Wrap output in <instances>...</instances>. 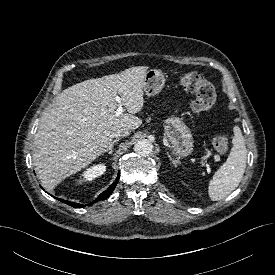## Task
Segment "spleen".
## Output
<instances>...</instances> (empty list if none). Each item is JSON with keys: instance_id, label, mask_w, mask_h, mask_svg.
Here are the masks:
<instances>
[{"instance_id": "spleen-1", "label": "spleen", "mask_w": 275, "mask_h": 275, "mask_svg": "<svg viewBox=\"0 0 275 275\" xmlns=\"http://www.w3.org/2000/svg\"><path fill=\"white\" fill-rule=\"evenodd\" d=\"M233 147L226 162L216 171L209 182L208 194L212 201L226 198L235 190L245 172L247 149L244 137L238 126L234 127Z\"/></svg>"}]
</instances>
